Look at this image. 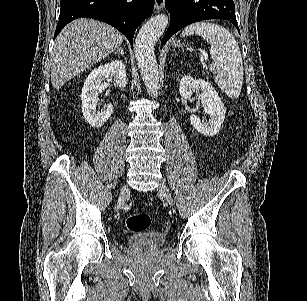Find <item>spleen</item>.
I'll return each instance as SVG.
<instances>
[{
    "mask_svg": "<svg viewBox=\"0 0 307 301\" xmlns=\"http://www.w3.org/2000/svg\"><path fill=\"white\" fill-rule=\"evenodd\" d=\"M187 34H200L211 44L215 80L227 96L238 98L243 86V60L239 44L232 32L214 22H193L181 32V36Z\"/></svg>",
    "mask_w": 307,
    "mask_h": 301,
    "instance_id": "spleen-1",
    "label": "spleen"
}]
</instances>
